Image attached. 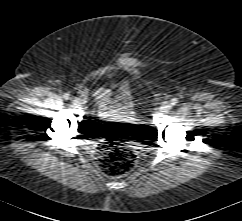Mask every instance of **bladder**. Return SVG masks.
<instances>
[{
    "mask_svg": "<svg viewBox=\"0 0 242 221\" xmlns=\"http://www.w3.org/2000/svg\"><path fill=\"white\" fill-rule=\"evenodd\" d=\"M116 108L122 112H132L133 108L125 103H116L115 104Z\"/></svg>",
    "mask_w": 242,
    "mask_h": 221,
    "instance_id": "bladder-1",
    "label": "bladder"
}]
</instances>
